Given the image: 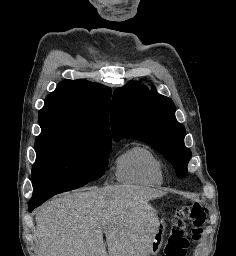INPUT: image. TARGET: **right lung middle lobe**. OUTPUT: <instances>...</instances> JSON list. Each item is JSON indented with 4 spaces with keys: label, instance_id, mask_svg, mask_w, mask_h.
<instances>
[{
    "label": "right lung middle lobe",
    "instance_id": "dd1d6c3e",
    "mask_svg": "<svg viewBox=\"0 0 236 256\" xmlns=\"http://www.w3.org/2000/svg\"><path fill=\"white\" fill-rule=\"evenodd\" d=\"M32 167L33 195L38 201L100 178L107 166L111 138L70 128L41 129Z\"/></svg>",
    "mask_w": 236,
    "mask_h": 256
}]
</instances>
